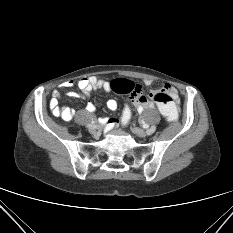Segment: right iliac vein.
Listing matches in <instances>:
<instances>
[{"label": "right iliac vein", "mask_w": 233, "mask_h": 233, "mask_svg": "<svg viewBox=\"0 0 233 233\" xmlns=\"http://www.w3.org/2000/svg\"><path fill=\"white\" fill-rule=\"evenodd\" d=\"M90 134H92L94 137H98L100 135V128H90L89 129Z\"/></svg>", "instance_id": "obj_1"}]
</instances>
